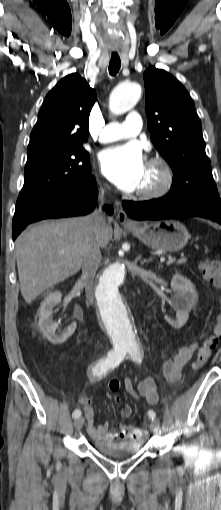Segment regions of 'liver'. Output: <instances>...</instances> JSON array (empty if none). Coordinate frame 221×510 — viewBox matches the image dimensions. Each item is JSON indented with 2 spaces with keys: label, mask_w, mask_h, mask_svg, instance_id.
Returning a JSON list of instances; mask_svg holds the SVG:
<instances>
[{
  "label": "liver",
  "mask_w": 221,
  "mask_h": 510,
  "mask_svg": "<svg viewBox=\"0 0 221 510\" xmlns=\"http://www.w3.org/2000/svg\"><path fill=\"white\" fill-rule=\"evenodd\" d=\"M85 233V218H68L33 225L16 239L20 290L28 304L80 270ZM112 235L107 225L99 237L100 246L106 247Z\"/></svg>",
  "instance_id": "obj_1"
}]
</instances>
